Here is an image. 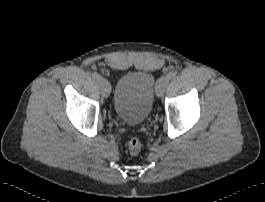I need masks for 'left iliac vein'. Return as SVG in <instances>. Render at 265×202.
I'll return each mask as SVG.
<instances>
[{
    "label": "left iliac vein",
    "instance_id": "4c4485c4",
    "mask_svg": "<svg viewBox=\"0 0 265 202\" xmlns=\"http://www.w3.org/2000/svg\"><path fill=\"white\" fill-rule=\"evenodd\" d=\"M169 85V78L168 77H162L158 80L157 87H156V95L158 97L163 96L165 91L167 90Z\"/></svg>",
    "mask_w": 265,
    "mask_h": 202
}]
</instances>
